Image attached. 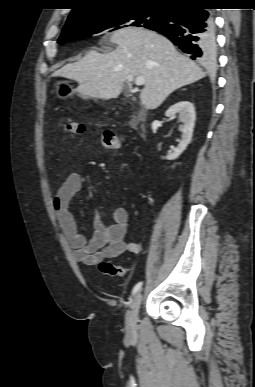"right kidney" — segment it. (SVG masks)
I'll list each match as a JSON object with an SVG mask.
<instances>
[{
	"label": "right kidney",
	"mask_w": 255,
	"mask_h": 387,
	"mask_svg": "<svg viewBox=\"0 0 255 387\" xmlns=\"http://www.w3.org/2000/svg\"><path fill=\"white\" fill-rule=\"evenodd\" d=\"M179 115V120L182 125V136L179 145L174 148L173 152L166 156L168 160H174L178 158L190 143L193 135V129L195 125V108L189 101H180L172 105L165 113L167 117Z\"/></svg>",
	"instance_id": "1"
}]
</instances>
